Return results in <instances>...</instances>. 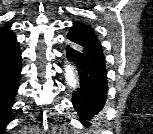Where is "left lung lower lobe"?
Instances as JSON below:
<instances>
[{
    "instance_id": "left-lung-lower-lobe-1",
    "label": "left lung lower lobe",
    "mask_w": 153,
    "mask_h": 134,
    "mask_svg": "<svg viewBox=\"0 0 153 134\" xmlns=\"http://www.w3.org/2000/svg\"><path fill=\"white\" fill-rule=\"evenodd\" d=\"M66 55L75 63L80 78V88L73 93L72 103L82 124L88 126L86 120L101 111L106 102L108 86L105 58L95 51L74 49L70 45L66 48Z\"/></svg>"
}]
</instances>
